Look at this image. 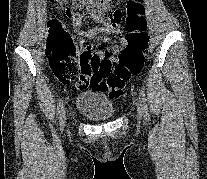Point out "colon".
<instances>
[{"mask_svg": "<svg viewBox=\"0 0 207 179\" xmlns=\"http://www.w3.org/2000/svg\"><path fill=\"white\" fill-rule=\"evenodd\" d=\"M68 17H80L89 13L109 16L117 0H56ZM144 0H128L124 25L125 44L107 46L99 54L92 52L91 45L84 49L61 22L51 21L46 42V53L51 71L62 83L77 81L78 84L94 85L108 91L113 98L127 95L126 82L141 73L148 46L147 21Z\"/></svg>", "mask_w": 207, "mask_h": 179, "instance_id": "colon-1", "label": "colon"}]
</instances>
